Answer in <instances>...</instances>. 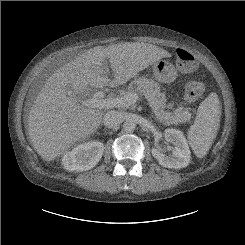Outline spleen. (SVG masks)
<instances>
[{"label": "spleen", "mask_w": 245, "mask_h": 245, "mask_svg": "<svg viewBox=\"0 0 245 245\" xmlns=\"http://www.w3.org/2000/svg\"><path fill=\"white\" fill-rule=\"evenodd\" d=\"M221 117V106L216 93H211L198 107L194 124L188 130L189 144L197 157H203L215 139Z\"/></svg>", "instance_id": "3e777b00"}]
</instances>
